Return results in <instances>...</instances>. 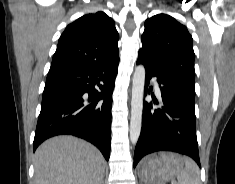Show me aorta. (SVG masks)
<instances>
[{"instance_id": "1", "label": "aorta", "mask_w": 235, "mask_h": 184, "mask_svg": "<svg viewBox=\"0 0 235 184\" xmlns=\"http://www.w3.org/2000/svg\"><path fill=\"white\" fill-rule=\"evenodd\" d=\"M144 82L145 68L137 66L133 76L131 96L130 140L132 144H137L141 134Z\"/></svg>"}]
</instances>
